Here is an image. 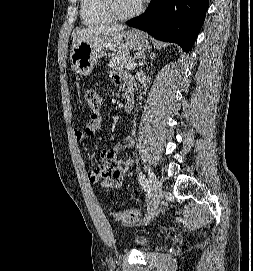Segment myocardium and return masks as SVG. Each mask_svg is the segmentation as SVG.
<instances>
[{"label":"myocardium","instance_id":"f54148a6","mask_svg":"<svg viewBox=\"0 0 253 271\" xmlns=\"http://www.w3.org/2000/svg\"><path fill=\"white\" fill-rule=\"evenodd\" d=\"M116 0H102V7L104 11L116 21H124L140 15L145 9L146 0H142L137 8L128 12L121 13L117 7Z\"/></svg>","mask_w":253,"mask_h":271}]
</instances>
